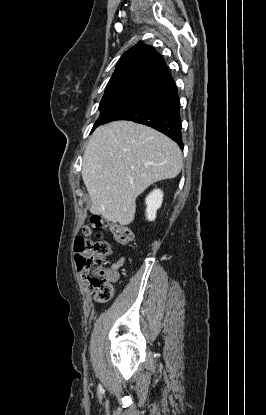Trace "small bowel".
I'll return each mask as SVG.
<instances>
[{"instance_id":"obj_1","label":"small bowel","mask_w":266,"mask_h":415,"mask_svg":"<svg viewBox=\"0 0 266 415\" xmlns=\"http://www.w3.org/2000/svg\"><path fill=\"white\" fill-rule=\"evenodd\" d=\"M125 258L121 257L117 261L111 263L108 272L112 275V282L118 278V270L124 264Z\"/></svg>"}]
</instances>
